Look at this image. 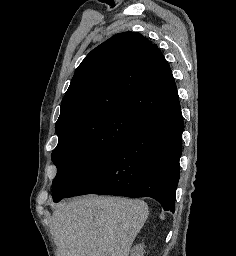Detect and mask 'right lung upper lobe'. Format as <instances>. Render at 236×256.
Masks as SVG:
<instances>
[{
    "instance_id": "cb5924a9",
    "label": "right lung upper lobe",
    "mask_w": 236,
    "mask_h": 256,
    "mask_svg": "<svg viewBox=\"0 0 236 256\" xmlns=\"http://www.w3.org/2000/svg\"><path fill=\"white\" fill-rule=\"evenodd\" d=\"M179 99L160 49L139 33L116 34L77 68L61 102L56 132L100 115L127 111L142 121Z\"/></svg>"
}]
</instances>
